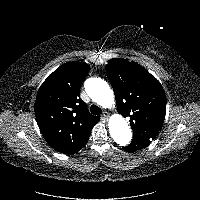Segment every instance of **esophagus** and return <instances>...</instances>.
Instances as JSON below:
<instances>
[{
    "instance_id": "34e87169",
    "label": "esophagus",
    "mask_w": 200,
    "mask_h": 200,
    "mask_svg": "<svg viewBox=\"0 0 200 200\" xmlns=\"http://www.w3.org/2000/svg\"><path fill=\"white\" fill-rule=\"evenodd\" d=\"M109 117V114L107 112H104L102 115V119L107 120Z\"/></svg>"
}]
</instances>
